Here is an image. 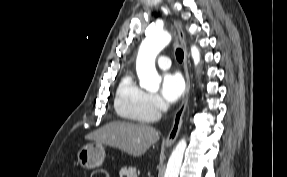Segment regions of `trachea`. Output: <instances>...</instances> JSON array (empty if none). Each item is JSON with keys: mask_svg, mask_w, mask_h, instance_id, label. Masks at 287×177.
I'll list each match as a JSON object with an SVG mask.
<instances>
[{"mask_svg": "<svg viewBox=\"0 0 287 177\" xmlns=\"http://www.w3.org/2000/svg\"><path fill=\"white\" fill-rule=\"evenodd\" d=\"M176 58L179 62H182L183 61V58H184V52L182 49L180 48H177L176 49Z\"/></svg>", "mask_w": 287, "mask_h": 177, "instance_id": "1", "label": "trachea"}]
</instances>
